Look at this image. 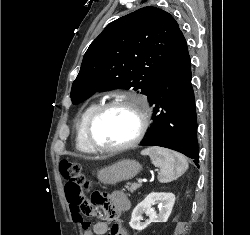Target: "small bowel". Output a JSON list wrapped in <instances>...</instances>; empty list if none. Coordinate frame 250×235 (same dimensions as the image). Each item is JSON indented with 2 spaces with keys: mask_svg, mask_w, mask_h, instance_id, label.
I'll use <instances>...</instances> for the list:
<instances>
[{
  "mask_svg": "<svg viewBox=\"0 0 250 235\" xmlns=\"http://www.w3.org/2000/svg\"><path fill=\"white\" fill-rule=\"evenodd\" d=\"M99 206H101L102 211L112 223L110 227H108L106 222L100 221L90 228V225L85 221V218L94 215L95 210L85 201L81 205L69 202V209L72 218L75 222L82 225L84 229L83 235H129L119 221V215L123 211H126L130 206L129 200L123 192H113L108 200L104 201Z\"/></svg>",
  "mask_w": 250,
  "mask_h": 235,
  "instance_id": "1",
  "label": "small bowel"
}]
</instances>
